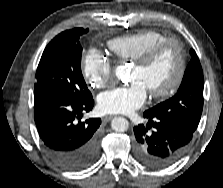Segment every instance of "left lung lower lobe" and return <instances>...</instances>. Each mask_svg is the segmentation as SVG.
<instances>
[{"mask_svg": "<svg viewBox=\"0 0 223 188\" xmlns=\"http://www.w3.org/2000/svg\"><path fill=\"white\" fill-rule=\"evenodd\" d=\"M148 124L134 127L135 156L151 168H164L177 162L187 151L193 133L144 112Z\"/></svg>", "mask_w": 223, "mask_h": 188, "instance_id": "obj_1", "label": "left lung lower lobe"}]
</instances>
